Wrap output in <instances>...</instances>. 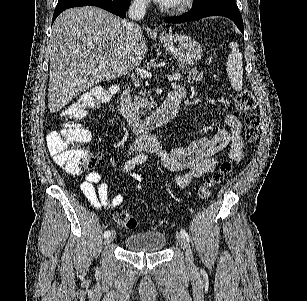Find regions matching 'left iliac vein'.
I'll return each mask as SVG.
<instances>
[{
	"instance_id": "1",
	"label": "left iliac vein",
	"mask_w": 307,
	"mask_h": 301,
	"mask_svg": "<svg viewBox=\"0 0 307 301\" xmlns=\"http://www.w3.org/2000/svg\"><path fill=\"white\" fill-rule=\"evenodd\" d=\"M177 242L181 246V248L184 250L185 257H186V264L189 267L194 268L195 264L193 261V254H192L190 245L187 242V240L183 237V235L179 232L177 233Z\"/></svg>"
}]
</instances>
